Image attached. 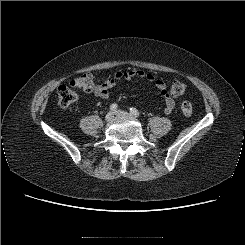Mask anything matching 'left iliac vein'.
Wrapping results in <instances>:
<instances>
[{
	"label": "left iliac vein",
	"instance_id": "left-iliac-vein-1",
	"mask_svg": "<svg viewBox=\"0 0 245 245\" xmlns=\"http://www.w3.org/2000/svg\"><path fill=\"white\" fill-rule=\"evenodd\" d=\"M115 115L121 116V117H130V114L123 110L115 111Z\"/></svg>",
	"mask_w": 245,
	"mask_h": 245
}]
</instances>
